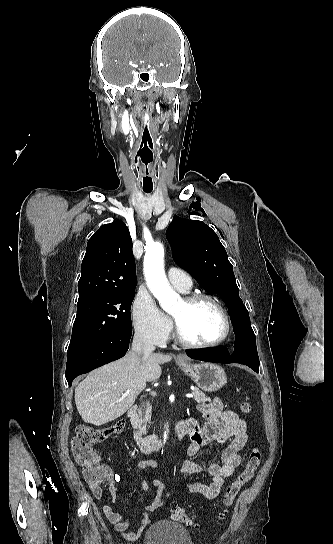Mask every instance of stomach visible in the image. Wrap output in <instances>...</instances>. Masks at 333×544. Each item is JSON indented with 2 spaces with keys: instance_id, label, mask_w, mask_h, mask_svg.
I'll return each mask as SVG.
<instances>
[{
  "instance_id": "obj_1",
  "label": "stomach",
  "mask_w": 333,
  "mask_h": 544,
  "mask_svg": "<svg viewBox=\"0 0 333 544\" xmlns=\"http://www.w3.org/2000/svg\"><path fill=\"white\" fill-rule=\"evenodd\" d=\"M179 367L206 392H215L221 389L226 381V373L222 367L213 363L182 364Z\"/></svg>"
}]
</instances>
